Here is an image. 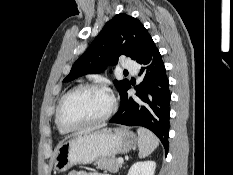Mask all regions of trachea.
Segmentation results:
<instances>
[{
	"instance_id": "3493384b",
	"label": "trachea",
	"mask_w": 233,
	"mask_h": 175,
	"mask_svg": "<svg viewBox=\"0 0 233 175\" xmlns=\"http://www.w3.org/2000/svg\"><path fill=\"white\" fill-rule=\"evenodd\" d=\"M124 73H128V71L125 70Z\"/></svg>"
}]
</instances>
